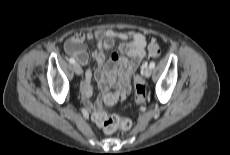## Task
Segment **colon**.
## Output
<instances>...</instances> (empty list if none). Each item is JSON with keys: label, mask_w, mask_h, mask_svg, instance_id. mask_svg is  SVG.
Returning <instances> with one entry per match:
<instances>
[{"label": "colon", "mask_w": 230, "mask_h": 155, "mask_svg": "<svg viewBox=\"0 0 230 155\" xmlns=\"http://www.w3.org/2000/svg\"><path fill=\"white\" fill-rule=\"evenodd\" d=\"M148 53L151 58H155L160 53L159 45L156 41H151L148 44ZM145 86L137 78L134 84V97L137 104H142L145 100ZM114 98H111L113 100ZM93 120L98 124L106 133H113L116 129L120 128L128 130L131 127V121L126 118H120L116 115H109L102 109H97L93 115Z\"/></svg>", "instance_id": "1"}]
</instances>
